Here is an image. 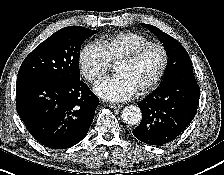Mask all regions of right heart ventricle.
Listing matches in <instances>:
<instances>
[{
    "label": "right heart ventricle",
    "mask_w": 224,
    "mask_h": 175,
    "mask_svg": "<svg viewBox=\"0 0 224 175\" xmlns=\"http://www.w3.org/2000/svg\"><path fill=\"white\" fill-rule=\"evenodd\" d=\"M149 42L148 38L136 32H119L100 40L99 46L110 63H116L137 47Z\"/></svg>",
    "instance_id": "1"
}]
</instances>
